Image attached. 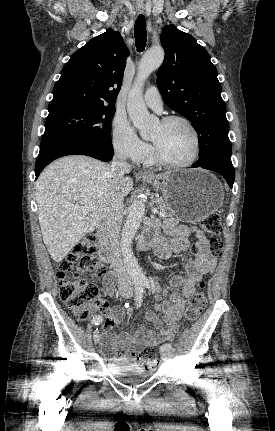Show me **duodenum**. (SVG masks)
<instances>
[{
	"instance_id": "duodenum-1",
	"label": "duodenum",
	"mask_w": 275,
	"mask_h": 431,
	"mask_svg": "<svg viewBox=\"0 0 275 431\" xmlns=\"http://www.w3.org/2000/svg\"><path fill=\"white\" fill-rule=\"evenodd\" d=\"M96 237L98 240V254L100 259L105 263L111 262L113 259V253L107 239L106 229L104 225L98 226L96 230ZM153 244L154 240L144 239L140 243V248L142 250H148Z\"/></svg>"
}]
</instances>
